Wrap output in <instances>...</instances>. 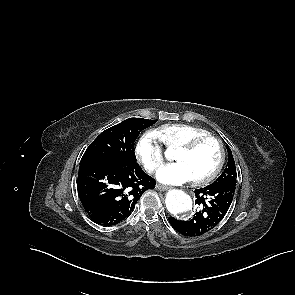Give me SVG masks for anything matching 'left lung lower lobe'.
Segmentation results:
<instances>
[{"label": "left lung lower lobe", "mask_w": 295, "mask_h": 295, "mask_svg": "<svg viewBox=\"0 0 295 295\" xmlns=\"http://www.w3.org/2000/svg\"><path fill=\"white\" fill-rule=\"evenodd\" d=\"M236 184L223 182L195 190V203L200 211L188 221L169 217L172 227L185 236H200L219 224L226 215L235 192Z\"/></svg>", "instance_id": "obj_1"}]
</instances>
